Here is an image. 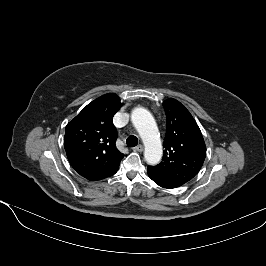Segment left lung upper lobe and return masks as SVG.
Segmentation results:
<instances>
[{"label":"left lung upper lobe","instance_id":"5c2ea615","mask_svg":"<svg viewBox=\"0 0 266 266\" xmlns=\"http://www.w3.org/2000/svg\"><path fill=\"white\" fill-rule=\"evenodd\" d=\"M162 105L166 113L163 160L147 171L167 188H176L199 172L206 146L196 121L179 101L170 98Z\"/></svg>","mask_w":266,"mask_h":266}]
</instances>
